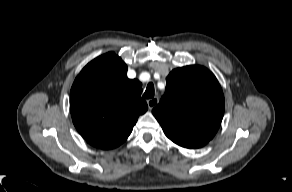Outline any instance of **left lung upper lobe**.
Here are the masks:
<instances>
[{"mask_svg": "<svg viewBox=\"0 0 292 192\" xmlns=\"http://www.w3.org/2000/svg\"><path fill=\"white\" fill-rule=\"evenodd\" d=\"M166 90L152 110L165 135L185 148L206 145L218 131L224 114V95L212 72L191 65L174 69Z\"/></svg>", "mask_w": 292, "mask_h": 192, "instance_id": "1", "label": "left lung upper lobe"}]
</instances>
